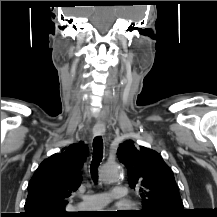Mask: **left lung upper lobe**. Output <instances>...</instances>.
Instances as JSON below:
<instances>
[{
    "mask_svg": "<svg viewBox=\"0 0 217 217\" xmlns=\"http://www.w3.org/2000/svg\"><path fill=\"white\" fill-rule=\"evenodd\" d=\"M118 159L128 169V183L138 188L145 217H182L184 207L172 170L155 151L132 141L120 144Z\"/></svg>",
    "mask_w": 217,
    "mask_h": 217,
    "instance_id": "1",
    "label": "left lung upper lobe"
}]
</instances>
